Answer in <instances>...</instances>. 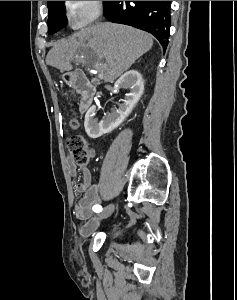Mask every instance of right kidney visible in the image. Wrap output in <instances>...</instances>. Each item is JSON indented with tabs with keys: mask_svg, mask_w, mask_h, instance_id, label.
<instances>
[{
	"mask_svg": "<svg viewBox=\"0 0 237 300\" xmlns=\"http://www.w3.org/2000/svg\"><path fill=\"white\" fill-rule=\"evenodd\" d=\"M114 89H129L126 93L123 103H120L119 109L112 111L110 115L103 117L102 121L98 123L96 119V107H90L85 115L84 127L90 139H98L106 133H111L116 127L123 123L124 119L132 113L136 103H138L143 91V79L138 71H127L124 73L114 85Z\"/></svg>",
	"mask_w": 237,
	"mask_h": 300,
	"instance_id": "obj_1",
	"label": "right kidney"
}]
</instances>
